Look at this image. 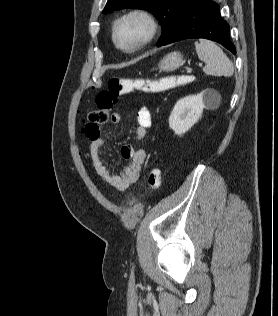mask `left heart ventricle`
I'll return each instance as SVG.
<instances>
[{
  "label": "left heart ventricle",
  "instance_id": "obj_1",
  "mask_svg": "<svg viewBox=\"0 0 278 316\" xmlns=\"http://www.w3.org/2000/svg\"><path fill=\"white\" fill-rule=\"evenodd\" d=\"M144 25L136 20L122 23L117 29V38L121 45L129 47L139 41L144 35Z\"/></svg>",
  "mask_w": 278,
  "mask_h": 316
}]
</instances>
